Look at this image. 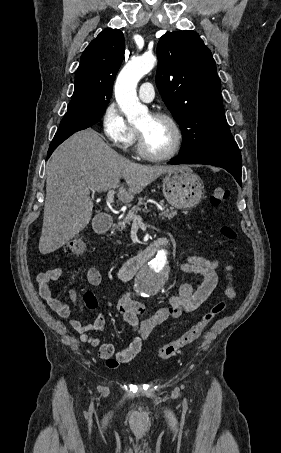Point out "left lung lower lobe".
<instances>
[{"label": "left lung lower lobe", "instance_id": "obj_1", "mask_svg": "<svg viewBox=\"0 0 281 453\" xmlns=\"http://www.w3.org/2000/svg\"><path fill=\"white\" fill-rule=\"evenodd\" d=\"M169 164H206L222 167L233 175L239 185L242 184V160L236 142L196 153L179 155L171 160Z\"/></svg>", "mask_w": 281, "mask_h": 453}]
</instances>
